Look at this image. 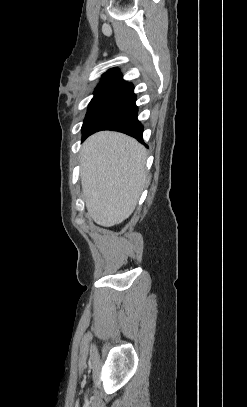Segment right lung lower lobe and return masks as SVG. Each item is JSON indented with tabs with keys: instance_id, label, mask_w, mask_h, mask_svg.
<instances>
[{
	"instance_id": "1",
	"label": "right lung lower lobe",
	"mask_w": 247,
	"mask_h": 407,
	"mask_svg": "<svg viewBox=\"0 0 247 407\" xmlns=\"http://www.w3.org/2000/svg\"><path fill=\"white\" fill-rule=\"evenodd\" d=\"M135 101L136 98L105 117L92 131L83 137V140L97 131L114 130L143 142V126L137 119L138 109Z\"/></svg>"
}]
</instances>
